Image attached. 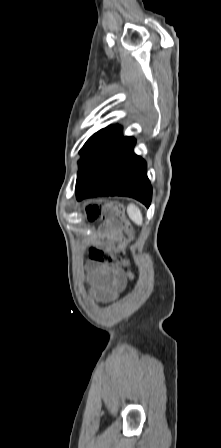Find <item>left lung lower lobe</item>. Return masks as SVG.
<instances>
[{"label":"left lung lower lobe","instance_id":"obj_1","mask_svg":"<svg viewBox=\"0 0 221 448\" xmlns=\"http://www.w3.org/2000/svg\"><path fill=\"white\" fill-rule=\"evenodd\" d=\"M135 139L130 138L107 152L96 163L79 170L76 198L119 195L141 201L149 207L152 197L146 162L135 155Z\"/></svg>","mask_w":221,"mask_h":448}]
</instances>
